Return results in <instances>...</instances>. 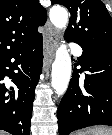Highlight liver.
I'll return each instance as SVG.
<instances>
[{
  "label": "liver",
  "mask_w": 112,
  "mask_h": 135,
  "mask_svg": "<svg viewBox=\"0 0 112 135\" xmlns=\"http://www.w3.org/2000/svg\"><path fill=\"white\" fill-rule=\"evenodd\" d=\"M0 135H7L5 132L0 131Z\"/></svg>",
  "instance_id": "liver-1"
}]
</instances>
